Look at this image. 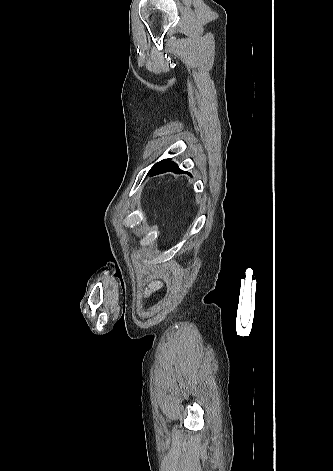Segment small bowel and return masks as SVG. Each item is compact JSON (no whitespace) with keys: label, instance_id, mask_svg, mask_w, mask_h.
I'll use <instances>...</instances> for the list:
<instances>
[{"label":"small bowel","instance_id":"small-bowel-1","mask_svg":"<svg viewBox=\"0 0 333 471\" xmlns=\"http://www.w3.org/2000/svg\"><path fill=\"white\" fill-rule=\"evenodd\" d=\"M161 286H162V282L158 279H153V280L149 281L146 284V287L144 289V296L145 297L150 296L153 292L160 289Z\"/></svg>","mask_w":333,"mask_h":471}]
</instances>
